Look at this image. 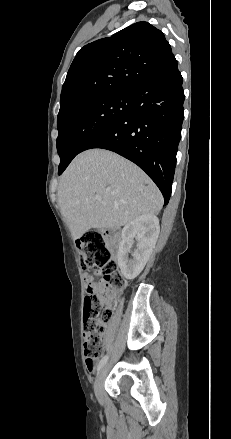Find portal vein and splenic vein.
Wrapping results in <instances>:
<instances>
[{"instance_id": "1", "label": "portal vein and splenic vein", "mask_w": 231, "mask_h": 439, "mask_svg": "<svg viewBox=\"0 0 231 439\" xmlns=\"http://www.w3.org/2000/svg\"><path fill=\"white\" fill-rule=\"evenodd\" d=\"M96 199H97V200H100V199H101V197H100V196H96Z\"/></svg>"}]
</instances>
